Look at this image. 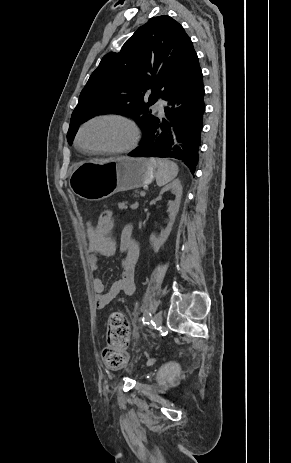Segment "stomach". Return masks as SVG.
Returning a JSON list of instances; mask_svg holds the SVG:
<instances>
[{
  "label": "stomach",
  "instance_id": "1",
  "mask_svg": "<svg viewBox=\"0 0 291 463\" xmlns=\"http://www.w3.org/2000/svg\"><path fill=\"white\" fill-rule=\"evenodd\" d=\"M155 168L144 158L93 159L76 164L69 186L80 198L98 201L120 192L150 184Z\"/></svg>",
  "mask_w": 291,
  "mask_h": 463
}]
</instances>
